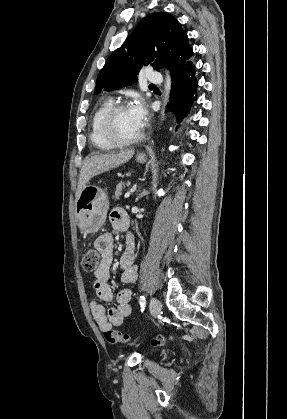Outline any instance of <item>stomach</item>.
Listing matches in <instances>:
<instances>
[{"instance_id": "stomach-1", "label": "stomach", "mask_w": 287, "mask_h": 419, "mask_svg": "<svg viewBox=\"0 0 287 419\" xmlns=\"http://www.w3.org/2000/svg\"><path fill=\"white\" fill-rule=\"evenodd\" d=\"M136 160L145 163L147 156L139 154ZM108 208L109 200L105 190L86 184L75 203V215L81 230L91 234L98 232L106 221Z\"/></svg>"}]
</instances>
